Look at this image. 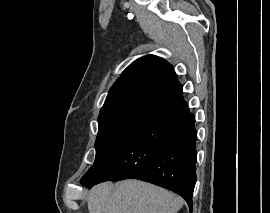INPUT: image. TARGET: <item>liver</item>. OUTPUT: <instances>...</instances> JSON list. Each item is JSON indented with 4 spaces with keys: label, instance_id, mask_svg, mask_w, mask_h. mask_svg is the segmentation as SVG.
<instances>
[{
    "label": "liver",
    "instance_id": "1",
    "mask_svg": "<svg viewBox=\"0 0 270 213\" xmlns=\"http://www.w3.org/2000/svg\"><path fill=\"white\" fill-rule=\"evenodd\" d=\"M182 205L175 194L137 180L102 183L88 197L89 213H177Z\"/></svg>",
    "mask_w": 270,
    "mask_h": 213
}]
</instances>
